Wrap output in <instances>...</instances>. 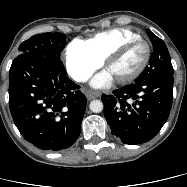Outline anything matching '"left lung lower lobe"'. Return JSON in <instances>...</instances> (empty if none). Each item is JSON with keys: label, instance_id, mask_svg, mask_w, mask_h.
<instances>
[{"label": "left lung lower lobe", "instance_id": "1", "mask_svg": "<svg viewBox=\"0 0 187 187\" xmlns=\"http://www.w3.org/2000/svg\"><path fill=\"white\" fill-rule=\"evenodd\" d=\"M173 76L136 81L103 94L104 115L114 136L125 144L151 140L170 114Z\"/></svg>", "mask_w": 187, "mask_h": 187}]
</instances>
